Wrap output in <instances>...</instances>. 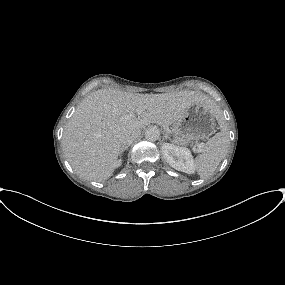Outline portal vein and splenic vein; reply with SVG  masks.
Masks as SVG:
<instances>
[{"label": "portal vein and splenic vein", "instance_id": "18ae733b", "mask_svg": "<svg viewBox=\"0 0 285 285\" xmlns=\"http://www.w3.org/2000/svg\"><path fill=\"white\" fill-rule=\"evenodd\" d=\"M142 112H143V110H138V111H137V114L140 115ZM131 116H132V115H131ZM200 147H203V145L201 144V145L199 146V149H200ZM198 151H199V150H198Z\"/></svg>", "mask_w": 285, "mask_h": 285}]
</instances>
